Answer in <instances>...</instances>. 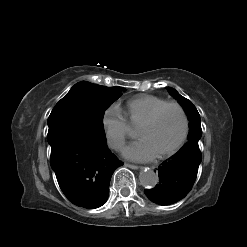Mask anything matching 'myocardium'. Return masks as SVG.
I'll use <instances>...</instances> for the list:
<instances>
[{
    "label": "myocardium",
    "mask_w": 247,
    "mask_h": 247,
    "mask_svg": "<svg viewBox=\"0 0 247 247\" xmlns=\"http://www.w3.org/2000/svg\"><path fill=\"white\" fill-rule=\"evenodd\" d=\"M167 108H175L178 110V112L180 113V116L182 118V132L178 138V140L175 142V144L170 147L168 150L157 154V158L159 159H165L171 155H173L175 152H177V150L183 145V143L185 142L187 136H188V132H189V120H188V116L187 113L185 111V109L182 107V105H180L177 102H166L164 104H162L161 106H159L158 108H156L141 124L140 126H150L152 124L155 123V121L158 119V117L161 115V113L166 110Z\"/></svg>",
    "instance_id": "obj_1"
}]
</instances>
